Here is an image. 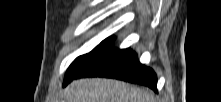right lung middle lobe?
I'll use <instances>...</instances> for the list:
<instances>
[{
	"mask_svg": "<svg viewBox=\"0 0 221 102\" xmlns=\"http://www.w3.org/2000/svg\"><path fill=\"white\" fill-rule=\"evenodd\" d=\"M115 37H108L104 41L101 42V44L95 48L93 51H91L88 54L79 56L74 60V62L70 65L66 77L72 75L79 69L83 68L85 65H87L91 60H93L98 55L102 54L107 48H109L113 42Z\"/></svg>",
	"mask_w": 221,
	"mask_h": 102,
	"instance_id": "obj_1",
	"label": "right lung middle lobe"
}]
</instances>
